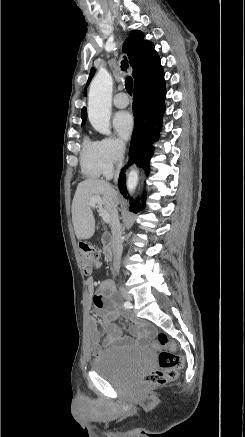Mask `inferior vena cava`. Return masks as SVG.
<instances>
[{
  "label": "inferior vena cava",
  "instance_id": "602c4592",
  "mask_svg": "<svg viewBox=\"0 0 245 437\" xmlns=\"http://www.w3.org/2000/svg\"><path fill=\"white\" fill-rule=\"evenodd\" d=\"M124 152H125V145L121 143L119 145V150H118V165H117L116 175L114 178L115 182L118 181L119 172L122 167V162L124 159ZM112 228H113V234L111 239V249L113 252V269L116 273H118L120 268V260L123 251V246H122V239H121L122 236L121 224L119 222L118 211H117V202L114 203V216L112 221Z\"/></svg>",
  "mask_w": 245,
  "mask_h": 437
}]
</instances>
